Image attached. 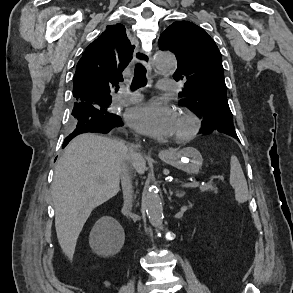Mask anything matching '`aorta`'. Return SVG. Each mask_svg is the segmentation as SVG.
Returning a JSON list of instances; mask_svg holds the SVG:
<instances>
[{"instance_id": "762f6f07", "label": "aorta", "mask_w": 293, "mask_h": 293, "mask_svg": "<svg viewBox=\"0 0 293 293\" xmlns=\"http://www.w3.org/2000/svg\"><path fill=\"white\" fill-rule=\"evenodd\" d=\"M175 67L176 59L172 53L161 50L155 52L154 68L158 73H171ZM143 201L149 222L155 228H160L163 222V207L155 188H149L144 193Z\"/></svg>"}]
</instances>
